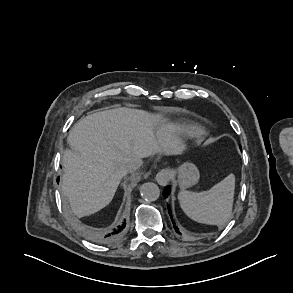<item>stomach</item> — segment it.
I'll return each instance as SVG.
<instances>
[{
  "label": "stomach",
  "instance_id": "stomach-1",
  "mask_svg": "<svg viewBox=\"0 0 293 293\" xmlns=\"http://www.w3.org/2000/svg\"><path fill=\"white\" fill-rule=\"evenodd\" d=\"M178 183L181 189L195 185L200 178V173L195 164L186 162L177 169Z\"/></svg>",
  "mask_w": 293,
  "mask_h": 293
}]
</instances>
